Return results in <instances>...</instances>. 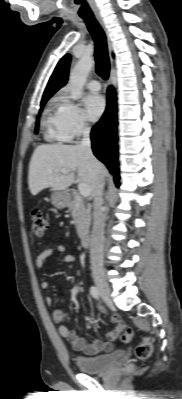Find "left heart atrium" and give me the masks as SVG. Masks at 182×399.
<instances>
[{"instance_id":"1","label":"left heart atrium","mask_w":182,"mask_h":399,"mask_svg":"<svg viewBox=\"0 0 182 399\" xmlns=\"http://www.w3.org/2000/svg\"><path fill=\"white\" fill-rule=\"evenodd\" d=\"M87 116L90 120H98L105 110V100L99 94H89L84 99Z\"/></svg>"}]
</instances>
